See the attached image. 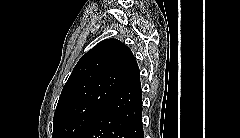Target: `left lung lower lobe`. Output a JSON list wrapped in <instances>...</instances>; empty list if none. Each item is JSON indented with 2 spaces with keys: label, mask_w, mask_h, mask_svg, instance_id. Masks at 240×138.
Returning <instances> with one entry per match:
<instances>
[{
  "label": "left lung lower lobe",
  "mask_w": 240,
  "mask_h": 138,
  "mask_svg": "<svg viewBox=\"0 0 240 138\" xmlns=\"http://www.w3.org/2000/svg\"><path fill=\"white\" fill-rule=\"evenodd\" d=\"M84 138H144L140 73L136 61Z\"/></svg>",
  "instance_id": "obj_1"
}]
</instances>
